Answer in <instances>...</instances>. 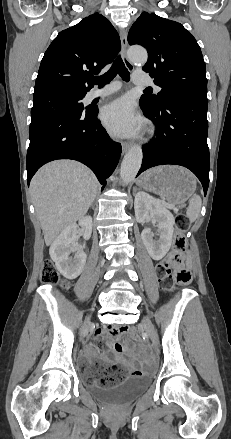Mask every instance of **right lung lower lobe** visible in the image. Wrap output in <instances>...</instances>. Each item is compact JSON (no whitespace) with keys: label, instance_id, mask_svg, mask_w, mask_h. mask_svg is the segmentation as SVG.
<instances>
[{"label":"right lung lower lobe","instance_id":"obj_1","mask_svg":"<svg viewBox=\"0 0 231 439\" xmlns=\"http://www.w3.org/2000/svg\"><path fill=\"white\" fill-rule=\"evenodd\" d=\"M97 114L96 107H87L31 122L27 152L28 185L45 163L73 159L87 165L104 188L106 179L118 163L122 148L110 139Z\"/></svg>","mask_w":231,"mask_h":439}]
</instances>
